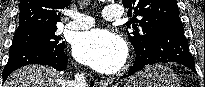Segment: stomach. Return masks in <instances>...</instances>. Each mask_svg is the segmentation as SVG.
Returning a JSON list of instances; mask_svg holds the SVG:
<instances>
[{"instance_id": "obj_1", "label": "stomach", "mask_w": 205, "mask_h": 87, "mask_svg": "<svg viewBox=\"0 0 205 87\" xmlns=\"http://www.w3.org/2000/svg\"><path fill=\"white\" fill-rule=\"evenodd\" d=\"M124 87H180V80L170 68L156 64L130 77Z\"/></svg>"}]
</instances>
